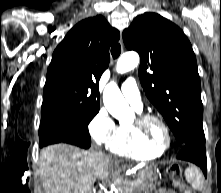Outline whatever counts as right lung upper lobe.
Listing matches in <instances>:
<instances>
[{
	"mask_svg": "<svg viewBox=\"0 0 221 193\" xmlns=\"http://www.w3.org/2000/svg\"><path fill=\"white\" fill-rule=\"evenodd\" d=\"M120 33L102 16L75 25L55 49L49 65L42 111L99 109L98 83Z\"/></svg>",
	"mask_w": 221,
	"mask_h": 193,
	"instance_id": "right-lung-upper-lobe-1",
	"label": "right lung upper lobe"
}]
</instances>
